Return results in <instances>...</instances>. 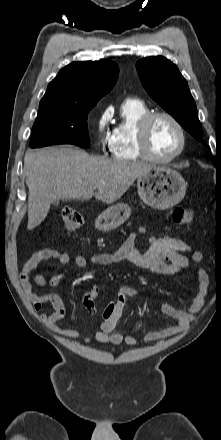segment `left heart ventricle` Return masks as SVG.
Listing matches in <instances>:
<instances>
[{
  "label": "left heart ventricle",
  "mask_w": 221,
  "mask_h": 440,
  "mask_svg": "<svg viewBox=\"0 0 221 440\" xmlns=\"http://www.w3.org/2000/svg\"><path fill=\"white\" fill-rule=\"evenodd\" d=\"M149 144L156 156L169 157L180 145L179 132L167 118H157L150 127Z\"/></svg>",
  "instance_id": "obj_1"
}]
</instances>
